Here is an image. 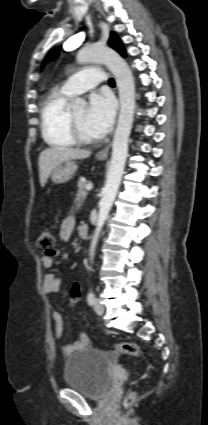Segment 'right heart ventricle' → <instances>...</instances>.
Wrapping results in <instances>:
<instances>
[{
	"instance_id": "obj_1",
	"label": "right heart ventricle",
	"mask_w": 208,
	"mask_h": 425,
	"mask_svg": "<svg viewBox=\"0 0 208 425\" xmlns=\"http://www.w3.org/2000/svg\"><path fill=\"white\" fill-rule=\"evenodd\" d=\"M71 94L63 89L51 91L41 105V133L44 141L51 147H74L69 124L68 103Z\"/></svg>"
}]
</instances>
